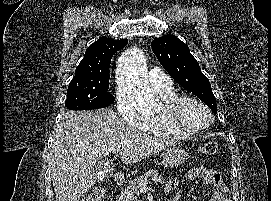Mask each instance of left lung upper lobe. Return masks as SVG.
<instances>
[{
    "mask_svg": "<svg viewBox=\"0 0 271 201\" xmlns=\"http://www.w3.org/2000/svg\"><path fill=\"white\" fill-rule=\"evenodd\" d=\"M151 47L169 75L216 114V98L209 79L201 72L199 63L190 53L188 46L175 35H164L154 39Z\"/></svg>",
    "mask_w": 271,
    "mask_h": 201,
    "instance_id": "1",
    "label": "left lung upper lobe"
}]
</instances>
